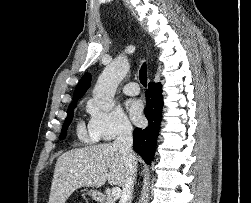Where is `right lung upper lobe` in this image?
Instances as JSON below:
<instances>
[{"label": "right lung upper lobe", "instance_id": "obj_1", "mask_svg": "<svg viewBox=\"0 0 251 203\" xmlns=\"http://www.w3.org/2000/svg\"><path fill=\"white\" fill-rule=\"evenodd\" d=\"M90 83H91V75L89 73L84 74V76L81 78V80L79 81V83L75 88L73 101L70 104L77 102V100L84 95V93L89 89Z\"/></svg>", "mask_w": 251, "mask_h": 203}]
</instances>
